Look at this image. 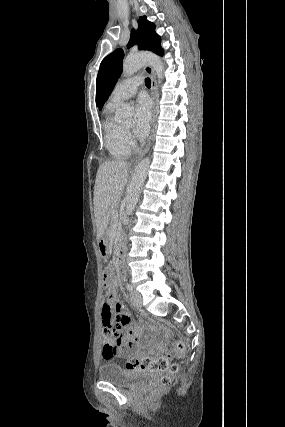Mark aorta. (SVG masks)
<instances>
[{
    "label": "aorta",
    "mask_w": 285,
    "mask_h": 427,
    "mask_svg": "<svg viewBox=\"0 0 285 427\" xmlns=\"http://www.w3.org/2000/svg\"><path fill=\"white\" fill-rule=\"evenodd\" d=\"M147 64L153 67L158 79L162 80L164 73V64L157 55L149 52H138L134 54H129L123 62V74L127 77L131 76ZM132 113L133 106L131 104L122 105L120 117L129 118ZM149 165L150 158L145 157L135 168L132 180L127 189V213H131L138 202L142 187L147 177Z\"/></svg>",
    "instance_id": "obj_1"
}]
</instances>
